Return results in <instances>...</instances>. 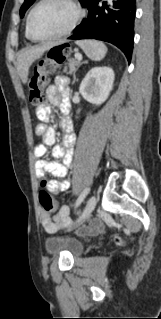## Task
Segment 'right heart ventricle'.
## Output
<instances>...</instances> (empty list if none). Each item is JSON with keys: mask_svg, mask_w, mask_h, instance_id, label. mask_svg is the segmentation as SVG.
Segmentation results:
<instances>
[{"mask_svg": "<svg viewBox=\"0 0 161 319\" xmlns=\"http://www.w3.org/2000/svg\"><path fill=\"white\" fill-rule=\"evenodd\" d=\"M28 16H29V14H28ZM27 19H28V17H27ZM25 36H26V38H28V35H27V21H26Z\"/></svg>", "mask_w": 161, "mask_h": 319, "instance_id": "obj_1", "label": "right heart ventricle"}]
</instances>
